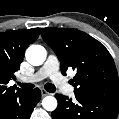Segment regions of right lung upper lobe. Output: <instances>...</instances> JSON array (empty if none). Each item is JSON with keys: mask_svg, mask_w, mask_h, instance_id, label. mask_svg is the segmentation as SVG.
I'll use <instances>...</instances> for the list:
<instances>
[{"mask_svg": "<svg viewBox=\"0 0 119 119\" xmlns=\"http://www.w3.org/2000/svg\"><path fill=\"white\" fill-rule=\"evenodd\" d=\"M40 29L16 30L0 33V95L20 90L8 86L14 73L20 69L25 49L39 36Z\"/></svg>", "mask_w": 119, "mask_h": 119, "instance_id": "1", "label": "right lung upper lobe"}]
</instances>
